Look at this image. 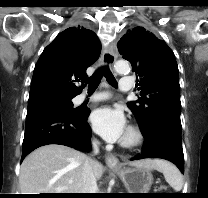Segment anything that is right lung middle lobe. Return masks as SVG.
I'll return each mask as SVG.
<instances>
[{
  "instance_id": "1",
  "label": "right lung middle lobe",
  "mask_w": 208,
  "mask_h": 198,
  "mask_svg": "<svg viewBox=\"0 0 208 198\" xmlns=\"http://www.w3.org/2000/svg\"><path fill=\"white\" fill-rule=\"evenodd\" d=\"M42 110H64L70 113H80L82 108H74L71 99L55 100L28 107L27 114Z\"/></svg>"
}]
</instances>
